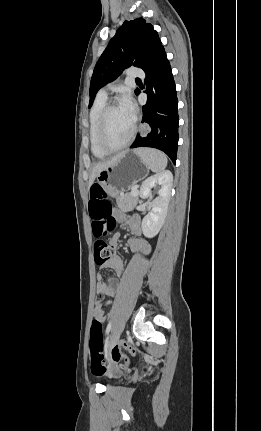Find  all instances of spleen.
<instances>
[{"label":"spleen","instance_id":"1","mask_svg":"<svg viewBox=\"0 0 261 431\" xmlns=\"http://www.w3.org/2000/svg\"><path fill=\"white\" fill-rule=\"evenodd\" d=\"M136 151L153 172H159L166 168L167 157L161 151L147 148L137 149Z\"/></svg>","mask_w":261,"mask_h":431}]
</instances>
